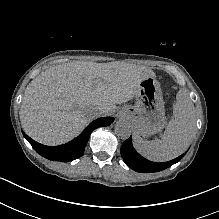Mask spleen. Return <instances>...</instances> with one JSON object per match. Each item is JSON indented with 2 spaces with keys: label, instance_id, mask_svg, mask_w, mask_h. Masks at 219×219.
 <instances>
[{
  "label": "spleen",
  "instance_id": "1",
  "mask_svg": "<svg viewBox=\"0 0 219 219\" xmlns=\"http://www.w3.org/2000/svg\"><path fill=\"white\" fill-rule=\"evenodd\" d=\"M196 127L194 104L186 90L180 89L161 140L145 141L134 134V147L148 160L166 162L183 154L189 147Z\"/></svg>",
  "mask_w": 219,
  "mask_h": 219
}]
</instances>
